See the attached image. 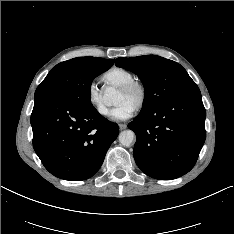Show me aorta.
Here are the masks:
<instances>
[{
    "label": "aorta",
    "mask_w": 234,
    "mask_h": 234,
    "mask_svg": "<svg viewBox=\"0 0 234 234\" xmlns=\"http://www.w3.org/2000/svg\"><path fill=\"white\" fill-rule=\"evenodd\" d=\"M113 93H114L113 90H108L106 92L104 98L108 103L111 102V97H112ZM134 137H135V134L132 130H125L119 134L118 138H119V142L123 146H130L134 141Z\"/></svg>",
    "instance_id": "obj_1"
}]
</instances>
